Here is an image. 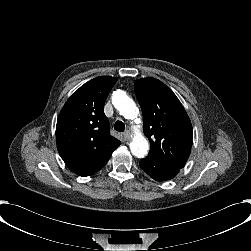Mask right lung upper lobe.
Returning <instances> with one entry per match:
<instances>
[{"label":"right lung upper lobe","instance_id":"1","mask_svg":"<svg viewBox=\"0 0 251 251\" xmlns=\"http://www.w3.org/2000/svg\"><path fill=\"white\" fill-rule=\"evenodd\" d=\"M116 77H96L75 91L63 106L57 120L58 152L67 167L86 177L99 171L110 159L120 141L110 135L104 114L105 100Z\"/></svg>","mask_w":251,"mask_h":251}]
</instances>
